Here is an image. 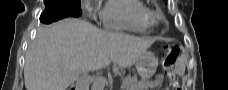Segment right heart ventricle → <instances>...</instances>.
<instances>
[{
    "instance_id": "1",
    "label": "right heart ventricle",
    "mask_w": 228,
    "mask_h": 90,
    "mask_svg": "<svg viewBox=\"0 0 228 90\" xmlns=\"http://www.w3.org/2000/svg\"><path fill=\"white\" fill-rule=\"evenodd\" d=\"M150 8L140 0H109L101 12L103 25L110 29L145 33L150 28Z\"/></svg>"
}]
</instances>
